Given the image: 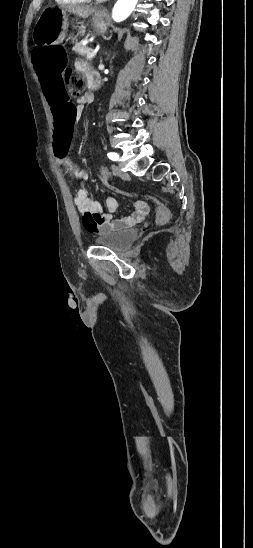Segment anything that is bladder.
Listing matches in <instances>:
<instances>
[{"label":"bladder","mask_w":253,"mask_h":548,"mask_svg":"<svg viewBox=\"0 0 253 548\" xmlns=\"http://www.w3.org/2000/svg\"><path fill=\"white\" fill-rule=\"evenodd\" d=\"M138 235L139 231L136 228L111 231L98 235L94 239V243L98 246L108 247L115 251H124L133 244Z\"/></svg>","instance_id":"1"}]
</instances>
